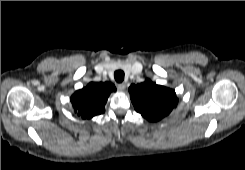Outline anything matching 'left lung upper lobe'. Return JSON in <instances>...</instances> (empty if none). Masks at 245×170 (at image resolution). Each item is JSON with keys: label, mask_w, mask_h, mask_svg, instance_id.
Returning a JSON list of instances; mask_svg holds the SVG:
<instances>
[{"label": "left lung upper lobe", "mask_w": 245, "mask_h": 170, "mask_svg": "<svg viewBox=\"0 0 245 170\" xmlns=\"http://www.w3.org/2000/svg\"><path fill=\"white\" fill-rule=\"evenodd\" d=\"M129 92L135 110L152 122L167 116L178 102L174 90L157 85L149 79L137 85L132 84Z\"/></svg>", "instance_id": "obj_1"}]
</instances>
